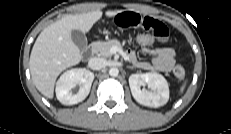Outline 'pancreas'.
<instances>
[{"label":"pancreas","mask_w":231,"mask_h":134,"mask_svg":"<svg viewBox=\"0 0 231 134\" xmlns=\"http://www.w3.org/2000/svg\"><path fill=\"white\" fill-rule=\"evenodd\" d=\"M114 46L122 49V45L118 40H109L106 42H95L93 44V51L99 56L109 57L112 55L110 49Z\"/></svg>","instance_id":"1"}]
</instances>
